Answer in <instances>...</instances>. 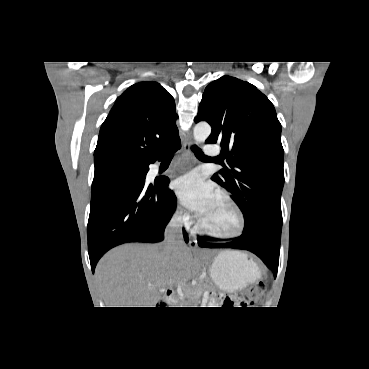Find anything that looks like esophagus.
I'll return each instance as SVG.
<instances>
[{
	"label": "esophagus",
	"mask_w": 369,
	"mask_h": 369,
	"mask_svg": "<svg viewBox=\"0 0 369 369\" xmlns=\"http://www.w3.org/2000/svg\"><path fill=\"white\" fill-rule=\"evenodd\" d=\"M194 141L192 138V134L189 133L188 136L183 140V149L186 152H189L191 149V146L193 145ZM189 245L191 248H196L197 247V240L196 238L192 237L190 239Z\"/></svg>",
	"instance_id": "34e87169"
}]
</instances>
